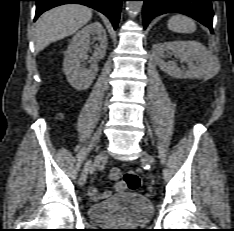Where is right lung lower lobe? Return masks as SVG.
I'll list each match as a JSON object with an SVG mask.
<instances>
[{
	"label": "right lung lower lobe",
	"instance_id": "1",
	"mask_svg": "<svg viewBox=\"0 0 234 231\" xmlns=\"http://www.w3.org/2000/svg\"><path fill=\"white\" fill-rule=\"evenodd\" d=\"M35 1H37L35 19H37L39 15L49 10L50 8L67 3H78L89 6L106 15L112 22L114 28L116 29L120 17L121 3L124 0H35Z\"/></svg>",
	"mask_w": 234,
	"mask_h": 231
}]
</instances>
